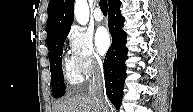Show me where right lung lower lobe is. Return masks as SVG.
I'll use <instances>...</instances> for the list:
<instances>
[{
  "label": "right lung lower lobe",
  "instance_id": "right-lung-lower-lobe-1",
  "mask_svg": "<svg viewBox=\"0 0 193 112\" xmlns=\"http://www.w3.org/2000/svg\"><path fill=\"white\" fill-rule=\"evenodd\" d=\"M120 5L121 2L117 0L109 6L108 24L112 45L104 60L106 93L116 109L120 108L122 102L128 52L125 47L127 34L122 29L125 18L120 13Z\"/></svg>",
  "mask_w": 193,
  "mask_h": 112
}]
</instances>
